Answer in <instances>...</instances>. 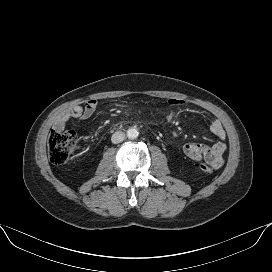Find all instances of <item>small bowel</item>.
Listing matches in <instances>:
<instances>
[{
    "instance_id": "c3829d8e",
    "label": "small bowel",
    "mask_w": 272,
    "mask_h": 272,
    "mask_svg": "<svg viewBox=\"0 0 272 272\" xmlns=\"http://www.w3.org/2000/svg\"><path fill=\"white\" fill-rule=\"evenodd\" d=\"M97 101L94 99L86 101L83 105H75L63 113L54 123L56 131H63L66 125L72 120H86L90 118L97 108ZM186 101L173 98L168 101L170 106H184ZM209 129L218 139L212 146L198 143H187L183 146L184 154L194 161H205L213 169H220L224 164V154L227 150L225 143L226 132L219 120H213Z\"/></svg>"
}]
</instances>
